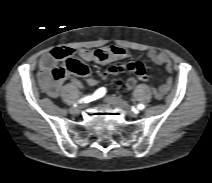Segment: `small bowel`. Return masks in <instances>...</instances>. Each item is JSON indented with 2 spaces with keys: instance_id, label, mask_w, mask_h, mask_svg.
I'll return each instance as SVG.
<instances>
[{
  "instance_id": "c3829d8e",
  "label": "small bowel",
  "mask_w": 212,
  "mask_h": 183,
  "mask_svg": "<svg viewBox=\"0 0 212 183\" xmlns=\"http://www.w3.org/2000/svg\"><path fill=\"white\" fill-rule=\"evenodd\" d=\"M69 56L74 54V50L71 48H64ZM78 55L81 59L87 62H95L99 64H108L117 60L125 59L129 57V52L122 47L111 45L94 50H80ZM151 61L158 65H165L168 72L172 71V64L168 55L164 52H151L149 53ZM58 59L53 55V52L43 55L40 59V70L39 80L42 85L44 92L51 98H57L60 89L61 81L55 82L51 78V71L56 66ZM131 71L142 81H148L149 75L146 72L144 66L140 62H129L122 65H113L108 67L104 72L103 76L107 77L110 75H116L118 73ZM73 74H68L65 78H70L71 83L74 86H79L80 82L78 79L72 77ZM85 81L88 85L93 86L96 84V80L90 76V72L84 76ZM172 85L171 76L166 78V81L159 86L154 94L157 99H162L170 90Z\"/></svg>"
}]
</instances>
